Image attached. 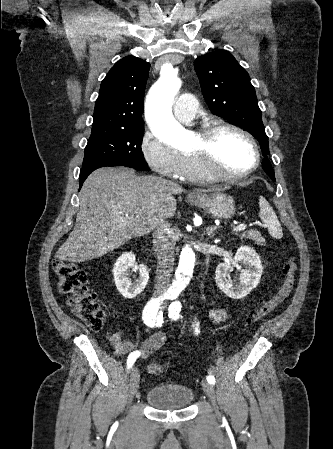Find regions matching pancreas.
Instances as JSON below:
<instances>
[{
	"instance_id": "pancreas-1",
	"label": "pancreas",
	"mask_w": 333,
	"mask_h": 449,
	"mask_svg": "<svg viewBox=\"0 0 333 449\" xmlns=\"http://www.w3.org/2000/svg\"><path fill=\"white\" fill-rule=\"evenodd\" d=\"M242 236L247 237L248 239L253 240L257 245H262L264 243V239L261 236L260 232L257 230H249L242 234Z\"/></svg>"
}]
</instances>
